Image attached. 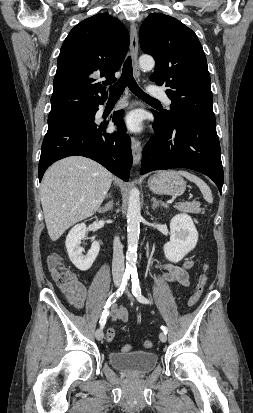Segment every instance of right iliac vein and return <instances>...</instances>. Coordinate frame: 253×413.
Here are the masks:
<instances>
[{"label": "right iliac vein", "mask_w": 253, "mask_h": 413, "mask_svg": "<svg viewBox=\"0 0 253 413\" xmlns=\"http://www.w3.org/2000/svg\"><path fill=\"white\" fill-rule=\"evenodd\" d=\"M114 284H115L116 287H118L120 285V280H118V279L115 280ZM95 337L99 341L103 339L104 333H103V330L101 328L96 330Z\"/></svg>", "instance_id": "obj_1"}]
</instances>
